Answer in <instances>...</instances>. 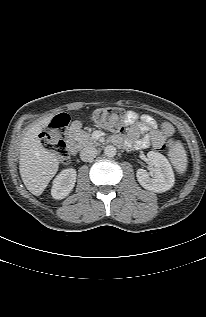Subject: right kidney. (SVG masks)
Instances as JSON below:
<instances>
[{"mask_svg":"<svg viewBox=\"0 0 206 317\" xmlns=\"http://www.w3.org/2000/svg\"><path fill=\"white\" fill-rule=\"evenodd\" d=\"M76 170L73 168L64 169L53 180L51 195L54 199H63L69 195L75 186Z\"/></svg>","mask_w":206,"mask_h":317,"instance_id":"1","label":"right kidney"}]
</instances>
